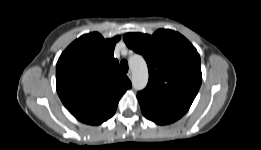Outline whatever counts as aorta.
Instances as JSON below:
<instances>
[{"instance_id": "obj_1", "label": "aorta", "mask_w": 261, "mask_h": 150, "mask_svg": "<svg viewBox=\"0 0 261 150\" xmlns=\"http://www.w3.org/2000/svg\"><path fill=\"white\" fill-rule=\"evenodd\" d=\"M129 67L132 72V85L135 90H142L148 83V68L141 55L135 54L129 58Z\"/></svg>"}]
</instances>
